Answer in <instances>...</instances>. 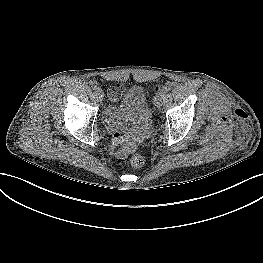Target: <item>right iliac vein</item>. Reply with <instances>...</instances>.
Listing matches in <instances>:
<instances>
[{
	"instance_id": "obj_1",
	"label": "right iliac vein",
	"mask_w": 263,
	"mask_h": 263,
	"mask_svg": "<svg viewBox=\"0 0 263 263\" xmlns=\"http://www.w3.org/2000/svg\"><path fill=\"white\" fill-rule=\"evenodd\" d=\"M97 96L100 98V100L103 98V91L100 89L99 91H96Z\"/></svg>"
}]
</instances>
